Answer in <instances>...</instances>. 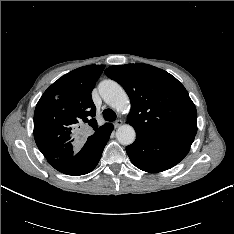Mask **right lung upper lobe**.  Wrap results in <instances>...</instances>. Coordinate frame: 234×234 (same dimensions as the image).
<instances>
[{"mask_svg": "<svg viewBox=\"0 0 234 234\" xmlns=\"http://www.w3.org/2000/svg\"><path fill=\"white\" fill-rule=\"evenodd\" d=\"M104 68V65L77 68L59 78L41 96L34 112V138L46 159L74 156L80 150L79 135L84 128L90 126L94 134L110 124L97 126L91 97Z\"/></svg>", "mask_w": 234, "mask_h": 234, "instance_id": "1", "label": "right lung upper lobe"}]
</instances>
